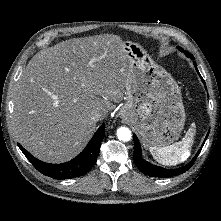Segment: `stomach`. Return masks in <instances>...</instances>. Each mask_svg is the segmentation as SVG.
Wrapping results in <instances>:
<instances>
[{
  "label": "stomach",
  "mask_w": 221,
  "mask_h": 221,
  "mask_svg": "<svg viewBox=\"0 0 221 221\" xmlns=\"http://www.w3.org/2000/svg\"><path fill=\"white\" fill-rule=\"evenodd\" d=\"M123 48L129 74L126 102L119 114L134 126L145 147L167 146L179 137L185 124L180 87L140 45L126 41Z\"/></svg>",
  "instance_id": "obj_1"
}]
</instances>
